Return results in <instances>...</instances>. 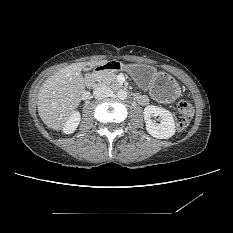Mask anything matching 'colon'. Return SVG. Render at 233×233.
Instances as JSON below:
<instances>
[{
    "label": "colon",
    "instance_id": "obj_1",
    "mask_svg": "<svg viewBox=\"0 0 233 233\" xmlns=\"http://www.w3.org/2000/svg\"><path fill=\"white\" fill-rule=\"evenodd\" d=\"M179 116L176 119V129L179 132L184 131L190 123L194 114V107L187 101H180L177 105Z\"/></svg>",
    "mask_w": 233,
    "mask_h": 233
}]
</instances>
